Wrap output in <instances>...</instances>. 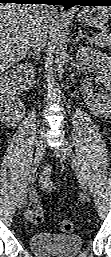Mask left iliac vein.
I'll return each mask as SVG.
<instances>
[{
    "mask_svg": "<svg viewBox=\"0 0 111 257\" xmlns=\"http://www.w3.org/2000/svg\"><path fill=\"white\" fill-rule=\"evenodd\" d=\"M54 150L58 154L65 155L72 160L73 168L76 172L81 188L83 189L84 192H87V184H86L83 170L80 167L79 163L77 162L71 146L68 143H64L62 146L55 148Z\"/></svg>",
    "mask_w": 111,
    "mask_h": 257,
    "instance_id": "obj_1",
    "label": "left iliac vein"
}]
</instances>
